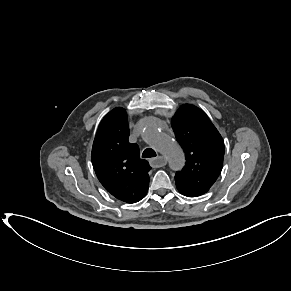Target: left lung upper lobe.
<instances>
[{
  "instance_id": "obj_1",
  "label": "left lung upper lobe",
  "mask_w": 291,
  "mask_h": 291,
  "mask_svg": "<svg viewBox=\"0 0 291 291\" xmlns=\"http://www.w3.org/2000/svg\"><path fill=\"white\" fill-rule=\"evenodd\" d=\"M171 125L187 160L175 175L176 187L187 197L201 196L221 173L224 141L205 112L194 105H182Z\"/></svg>"
}]
</instances>
